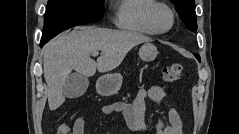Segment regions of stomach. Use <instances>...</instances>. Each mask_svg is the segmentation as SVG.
Masks as SVG:
<instances>
[{"label": "stomach", "mask_w": 239, "mask_h": 134, "mask_svg": "<svg viewBox=\"0 0 239 134\" xmlns=\"http://www.w3.org/2000/svg\"><path fill=\"white\" fill-rule=\"evenodd\" d=\"M157 48L151 42H145L139 49V56L143 61L149 62L156 58ZM123 77L119 73L105 74L96 83V89L103 96L116 94L122 85Z\"/></svg>", "instance_id": "stomach-1"}]
</instances>
